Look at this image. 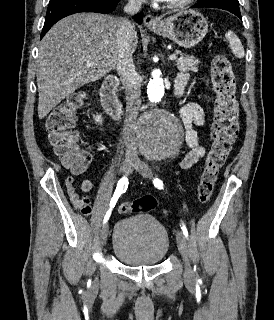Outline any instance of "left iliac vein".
Listing matches in <instances>:
<instances>
[{
    "instance_id": "left-iliac-vein-1",
    "label": "left iliac vein",
    "mask_w": 274,
    "mask_h": 320,
    "mask_svg": "<svg viewBox=\"0 0 274 320\" xmlns=\"http://www.w3.org/2000/svg\"><path fill=\"white\" fill-rule=\"evenodd\" d=\"M135 169L140 175H142L145 178H152L153 177V173H152V170L150 169V167L146 163H144L140 160L136 161ZM176 240H177L179 252L181 253L183 260L185 262L184 276H185L186 280H191L193 277V271H192V268H191V266L189 264V260H188V246H187L186 238H185V235L183 234L182 231H180V230L177 231Z\"/></svg>"
}]
</instances>
